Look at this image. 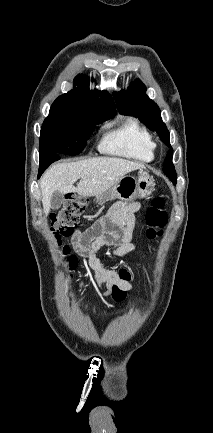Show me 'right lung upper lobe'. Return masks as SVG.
I'll use <instances>...</instances> for the list:
<instances>
[{"instance_id": "right-lung-upper-lobe-1", "label": "right lung upper lobe", "mask_w": 213, "mask_h": 433, "mask_svg": "<svg viewBox=\"0 0 213 433\" xmlns=\"http://www.w3.org/2000/svg\"><path fill=\"white\" fill-rule=\"evenodd\" d=\"M52 107L73 110L96 120H107L113 117L115 104L107 91L90 90L89 79L82 74L75 78L74 89L60 95Z\"/></svg>"}]
</instances>
